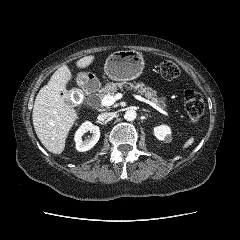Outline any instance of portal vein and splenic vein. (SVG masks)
I'll use <instances>...</instances> for the list:
<instances>
[{
  "label": "portal vein and splenic vein",
  "mask_w": 240,
  "mask_h": 240,
  "mask_svg": "<svg viewBox=\"0 0 240 240\" xmlns=\"http://www.w3.org/2000/svg\"><path fill=\"white\" fill-rule=\"evenodd\" d=\"M123 97L122 93H117L116 95L112 96V95H106L101 99V105L102 106H111L114 104V102L116 100H119ZM134 97L142 102H145L146 104L150 105L151 107H153L154 109H156L158 112H160L161 114L165 115V116H169V113L166 112L165 110H163V108L159 107L157 104H155L154 102H151L148 99H145L139 95H134Z\"/></svg>",
  "instance_id": "portal-vein-and-splenic-vein-1"
}]
</instances>
